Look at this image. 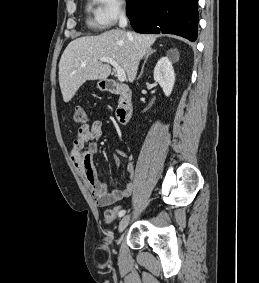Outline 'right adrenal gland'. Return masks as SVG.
I'll list each match as a JSON object with an SVG mask.
<instances>
[{
  "label": "right adrenal gland",
  "instance_id": "1",
  "mask_svg": "<svg viewBox=\"0 0 259 283\" xmlns=\"http://www.w3.org/2000/svg\"><path fill=\"white\" fill-rule=\"evenodd\" d=\"M155 52V50H152L150 49L146 54H145V60H144V63L142 65V69H141V72H140V75L138 76V79L141 78V76L143 75V71H144V66L148 60V58Z\"/></svg>",
  "mask_w": 259,
  "mask_h": 283
}]
</instances>
